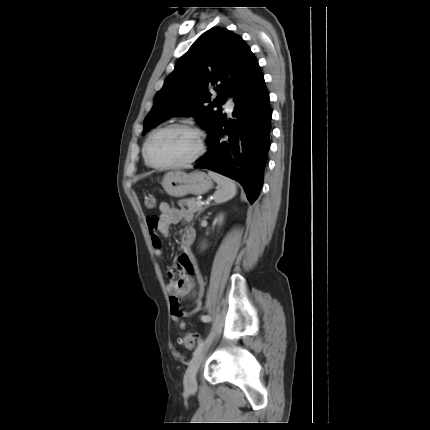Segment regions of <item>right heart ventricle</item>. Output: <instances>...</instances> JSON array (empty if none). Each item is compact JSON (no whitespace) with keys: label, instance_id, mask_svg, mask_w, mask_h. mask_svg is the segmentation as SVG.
<instances>
[{"label":"right heart ventricle","instance_id":"right-heart-ventricle-1","mask_svg":"<svg viewBox=\"0 0 430 430\" xmlns=\"http://www.w3.org/2000/svg\"><path fill=\"white\" fill-rule=\"evenodd\" d=\"M144 160H145V157H144ZM145 163H146V165L150 166V165L147 163V161H146V160H145Z\"/></svg>","mask_w":430,"mask_h":430}]
</instances>
